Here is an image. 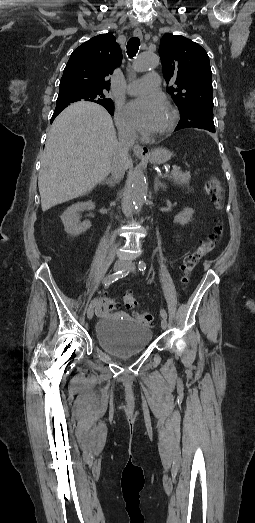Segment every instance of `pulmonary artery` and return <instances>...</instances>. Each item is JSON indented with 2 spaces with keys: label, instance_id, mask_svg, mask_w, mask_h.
<instances>
[{
  "label": "pulmonary artery",
  "instance_id": "obj_1",
  "mask_svg": "<svg viewBox=\"0 0 255 523\" xmlns=\"http://www.w3.org/2000/svg\"><path fill=\"white\" fill-rule=\"evenodd\" d=\"M159 74L155 71L150 72L145 77L139 80H135L128 84L127 93L134 94L136 99L141 97L140 93L147 92H158Z\"/></svg>",
  "mask_w": 255,
  "mask_h": 523
}]
</instances>
